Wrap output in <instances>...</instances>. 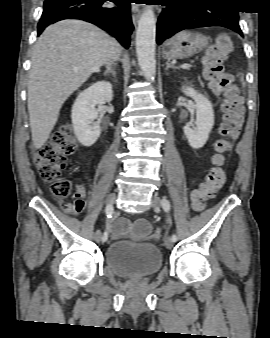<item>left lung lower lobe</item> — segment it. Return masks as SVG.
<instances>
[{"instance_id":"1","label":"left lung lower lobe","mask_w":270,"mask_h":338,"mask_svg":"<svg viewBox=\"0 0 270 338\" xmlns=\"http://www.w3.org/2000/svg\"><path fill=\"white\" fill-rule=\"evenodd\" d=\"M238 22V11L225 9L220 2L168 0L158 19L156 40L161 44L179 31L204 26H222L242 35Z\"/></svg>"}]
</instances>
